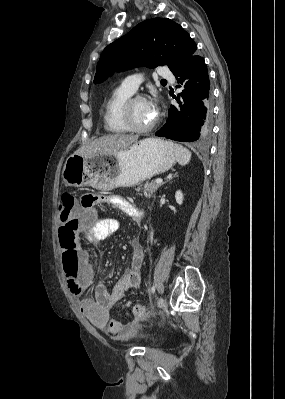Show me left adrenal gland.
<instances>
[{"mask_svg":"<svg viewBox=\"0 0 285 399\" xmlns=\"http://www.w3.org/2000/svg\"><path fill=\"white\" fill-rule=\"evenodd\" d=\"M177 176V173H175L172 177H170L169 178V180H167V181H170L171 179H173L174 177H176Z\"/></svg>","mask_w":285,"mask_h":399,"instance_id":"1","label":"left adrenal gland"}]
</instances>
